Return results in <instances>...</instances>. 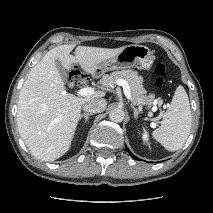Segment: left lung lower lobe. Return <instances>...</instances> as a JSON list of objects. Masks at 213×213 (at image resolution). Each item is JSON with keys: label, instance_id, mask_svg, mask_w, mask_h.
I'll list each match as a JSON object with an SVG mask.
<instances>
[{"label": "left lung lower lobe", "instance_id": "left-lung-lower-lobe-1", "mask_svg": "<svg viewBox=\"0 0 213 213\" xmlns=\"http://www.w3.org/2000/svg\"><path fill=\"white\" fill-rule=\"evenodd\" d=\"M126 150L128 151V153L135 159V160H139V158H137L136 156H134L130 150L127 148V146H125Z\"/></svg>", "mask_w": 213, "mask_h": 213}]
</instances>
